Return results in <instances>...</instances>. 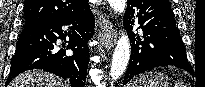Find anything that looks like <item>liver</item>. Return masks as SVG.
<instances>
[{
  "label": "liver",
  "instance_id": "liver-1",
  "mask_svg": "<svg viewBox=\"0 0 205 87\" xmlns=\"http://www.w3.org/2000/svg\"><path fill=\"white\" fill-rule=\"evenodd\" d=\"M61 78L40 70L28 71L18 75L9 87H69Z\"/></svg>",
  "mask_w": 205,
  "mask_h": 87
}]
</instances>
